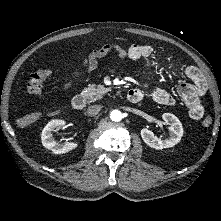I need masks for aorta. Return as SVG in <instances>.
Returning a JSON list of instances; mask_svg holds the SVG:
<instances>
[{"label":"aorta","mask_w":221,"mask_h":221,"mask_svg":"<svg viewBox=\"0 0 221 221\" xmlns=\"http://www.w3.org/2000/svg\"><path fill=\"white\" fill-rule=\"evenodd\" d=\"M110 118L112 121L118 122L122 119V113L119 110H113L110 114Z\"/></svg>","instance_id":"aorta-1"}]
</instances>
